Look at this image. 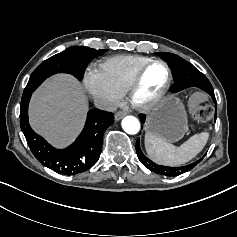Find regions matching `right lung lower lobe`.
<instances>
[{
	"label": "right lung lower lobe",
	"instance_id": "98d812e1",
	"mask_svg": "<svg viewBox=\"0 0 237 237\" xmlns=\"http://www.w3.org/2000/svg\"><path fill=\"white\" fill-rule=\"evenodd\" d=\"M32 93H23L20 104V126L34 156L46 167L63 175H75L91 168L102 150L105 130L113 124L112 113L92 109L85 127L76 141L66 149L58 150L36 134L28 122V104Z\"/></svg>",
	"mask_w": 237,
	"mask_h": 237
}]
</instances>
